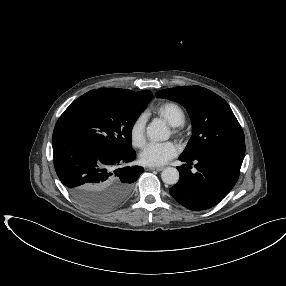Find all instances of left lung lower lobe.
Listing matches in <instances>:
<instances>
[{
	"label": "left lung lower lobe",
	"mask_w": 286,
	"mask_h": 286,
	"mask_svg": "<svg viewBox=\"0 0 286 286\" xmlns=\"http://www.w3.org/2000/svg\"><path fill=\"white\" fill-rule=\"evenodd\" d=\"M186 166L177 167L178 183L169 189L172 197L188 209L205 210L219 203L236 184L243 158L220 152H210L193 159L180 156ZM195 162L196 173L190 168Z\"/></svg>",
	"instance_id": "obj_1"
}]
</instances>
